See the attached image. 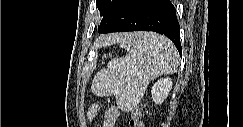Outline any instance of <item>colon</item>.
<instances>
[{
  "instance_id": "obj_1",
  "label": "colon",
  "mask_w": 243,
  "mask_h": 127,
  "mask_svg": "<svg viewBox=\"0 0 243 127\" xmlns=\"http://www.w3.org/2000/svg\"><path fill=\"white\" fill-rule=\"evenodd\" d=\"M141 117H142V110L136 109L131 115L129 125L133 127H143V123L141 122Z\"/></svg>"
}]
</instances>
